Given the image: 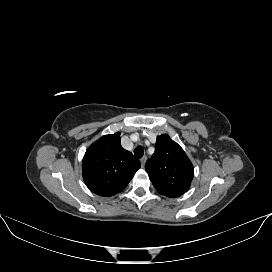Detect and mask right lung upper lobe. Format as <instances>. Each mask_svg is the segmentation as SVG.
Here are the masks:
<instances>
[{
  "instance_id": "1",
  "label": "right lung upper lobe",
  "mask_w": 272,
  "mask_h": 272,
  "mask_svg": "<svg viewBox=\"0 0 272 272\" xmlns=\"http://www.w3.org/2000/svg\"><path fill=\"white\" fill-rule=\"evenodd\" d=\"M120 133L105 135L86 151L82 175L93 193L109 197L122 191L141 167L140 162L121 146Z\"/></svg>"
}]
</instances>
